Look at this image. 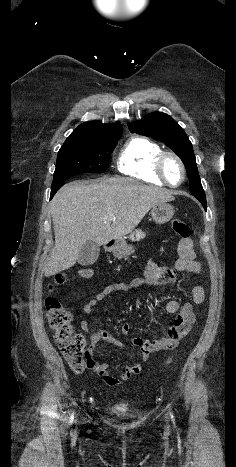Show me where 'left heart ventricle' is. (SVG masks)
<instances>
[{"label": "left heart ventricle", "instance_id": "left-heart-ventricle-1", "mask_svg": "<svg viewBox=\"0 0 236 467\" xmlns=\"http://www.w3.org/2000/svg\"><path fill=\"white\" fill-rule=\"evenodd\" d=\"M164 170L168 181L177 184L181 181L182 171L179 164L173 158H167L164 164Z\"/></svg>", "mask_w": 236, "mask_h": 467}]
</instances>
